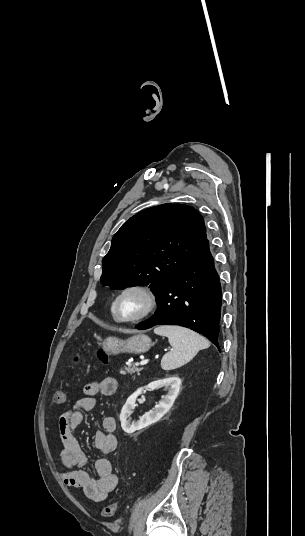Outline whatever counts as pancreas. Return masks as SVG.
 I'll return each mask as SVG.
<instances>
[{
  "mask_svg": "<svg viewBox=\"0 0 305 536\" xmlns=\"http://www.w3.org/2000/svg\"><path fill=\"white\" fill-rule=\"evenodd\" d=\"M135 372H141V368H136V366H133V364H127V366H124L122 370H120V374H123V376H126V374H135Z\"/></svg>",
  "mask_w": 305,
  "mask_h": 536,
  "instance_id": "obj_1",
  "label": "pancreas"
}]
</instances>
